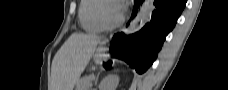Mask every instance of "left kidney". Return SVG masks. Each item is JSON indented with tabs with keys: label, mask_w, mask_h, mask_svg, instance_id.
<instances>
[{
	"label": "left kidney",
	"mask_w": 228,
	"mask_h": 90,
	"mask_svg": "<svg viewBox=\"0 0 228 90\" xmlns=\"http://www.w3.org/2000/svg\"><path fill=\"white\" fill-rule=\"evenodd\" d=\"M118 84L119 77L117 75H108L99 84V90H116Z\"/></svg>",
	"instance_id": "1"
}]
</instances>
